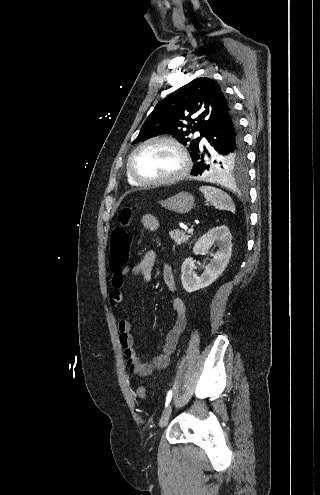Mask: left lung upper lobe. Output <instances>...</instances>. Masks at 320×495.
<instances>
[{
	"instance_id": "1",
	"label": "left lung upper lobe",
	"mask_w": 320,
	"mask_h": 495,
	"mask_svg": "<svg viewBox=\"0 0 320 495\" xmlns=\"http://www.w3.org/2000/svg\"><path fill=\"white\" fill-rule=\"evenodd\" d=\"M231 109V103L214 80L196 78L156 105L133 143L169 132L183 144L189 143L193 156L201 148L200 138L191 140L187 136L196 131L206 136L217 119ZM205 156L211 176L225 178L238 172L244 173L246 158L239 127L234 149L229 146L214 148L207 150Z\"/></svg>"
}]
</instances>
